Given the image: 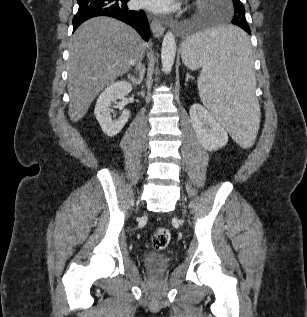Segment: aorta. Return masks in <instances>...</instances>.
Returning a JSON list of instances; mask_svg holds the SVG:
<instances>
[{
  "label": "aorta",
  "mask_w": 307,
  "mask_h": 317,
  "mask_svg": "<svg viewBox=\"0 0 307 317\" xmlns=\"http://www.w3.org/2000/svg\"><path fill=\"white\" fill-rule=\"evenodd\" d=\"M176 40L174 34L168 31L162 42L161 49V64L162 70L165 74H169L172 70L174 59L176 55Z\"/></svg>",
  "instance_id": "aorta-1"
}]
</instances>
